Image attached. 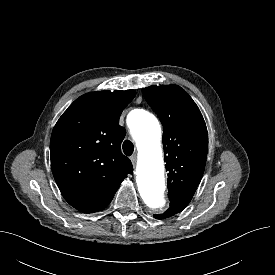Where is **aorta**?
<instances>
[{"mask_svg":"<svg viewBox=\"0 0 275 275\" xmlns=\"http://www.w3.org/2000/svg\"><path fill=\"white\" fill-rule=\"evenodd\" d=\"M131 117L132 136L140 157L138 190L150 212L160 214L167 208L160 124L154 115L145 110H135Z\"/></svg>","mask_w":275,"mask_h":275,"instance_id":"obj_1","label":"aorta"}]
</instances>
